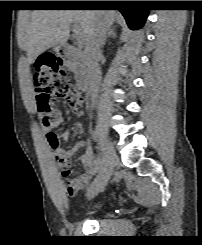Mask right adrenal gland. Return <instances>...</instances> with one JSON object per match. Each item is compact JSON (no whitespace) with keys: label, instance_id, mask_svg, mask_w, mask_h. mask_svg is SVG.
Returning a JSON list of instances; mask_svg holds the SVG:
<instances>
[{"label":"right adrenal gland","instance_id":"obj_1","mask_svg":"<svg viewBox=\"0 0 202 245\" xmlns=\"http://www.w3.org/2000/svg\"><path fill=\"white\" fill-rule=\"evenodd\" d=\"M109 37H113V38H116L117 37V34L115 33V28H110L109 29L108 34H107V36H106V38L104 40L103 46L105 45V43H106V41H107V39Z\"/></svg>","mask_w":202,"mask_h":245}]
</instances>
